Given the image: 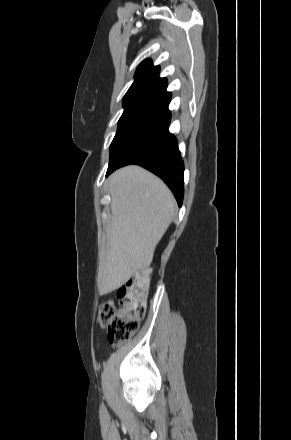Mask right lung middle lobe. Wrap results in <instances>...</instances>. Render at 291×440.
Listing matches in <instances>:
<instances>
[{"label": "right lung middle lobe", "mask_w": 291, "mask_h": 440, "mask_svg": "<svg viewBox=\"0 0 291 440\" xmlns=\"http://www.w3.org/2000/svg\"><path fill=\"white\" fill-rule=\"evenodd\" d=\"M153 101L139 100L123 103L124 112L119 119L118 130L110 145V161L114 158L122 144L133 132L141 119L144 117Z\"/></svg>", "instance_id": "obj_1"}]
</instances>
